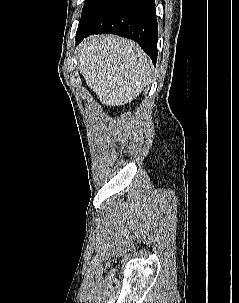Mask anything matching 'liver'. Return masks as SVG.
Returning a JSON list of instances; mask_svg holds the SVG:
<instances>
[{
  "label": "liver",
  "mask_w": 239,
  "mask_h": 303,
  "mask_svg": "<svg viewBox=\"0 0 239 303\" xmlns=\"http://www.w3.org/2000/svg\"><path fill=\"white\" fill-rule=\"evenodd\" d=\"M79 71L102 104L130 103L149 85L153 70L149 57L132 40L97 35L78 49Z\"/></svg>",
  "instance_id": "6515ba94"
}]
</instances>
